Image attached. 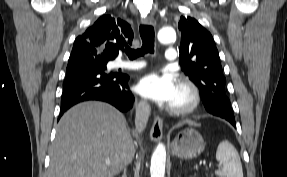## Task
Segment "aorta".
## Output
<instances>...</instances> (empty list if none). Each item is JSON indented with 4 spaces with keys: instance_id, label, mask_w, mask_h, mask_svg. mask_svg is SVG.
<instances>
[{
    "instance_id": "762f6f07",
    "label": "aorta",
    "mask_w": 287,
    "mask_h": 177,
    "mask_svg": "<svg viewBox=\"0 0 287 177\" xmlns=\"http://www.w3.org/2000/svg\"><path fill=\"white\" fill-rule=\"evenodd\" d=\"M161 43H170L176 38L174 29L162 28L157 35ZM166 163V148L163 143H159L151 157L150 175L151 177H164Z\"/></svg>"
}]
</instances>
